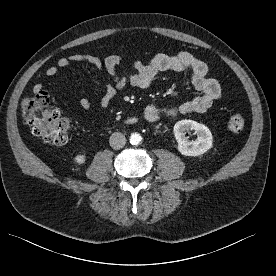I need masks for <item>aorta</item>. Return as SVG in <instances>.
<instances>
[{
	"mask_svg": "<svg viewBox=\"0 0 276 276\" xmlns=\"http://www.w3.org/2000/svg\"><path fill=\"white\" fill-rule=\"evenodd\" d=\"M142 141V137L138 133H133L130 136V143L132 145H138Z\"/></svg>",
	"mask_w": 276,
	"mask_h": 276,
	"instance_id": "obj_1",
	"label": "aorta"
}]
</instances>
